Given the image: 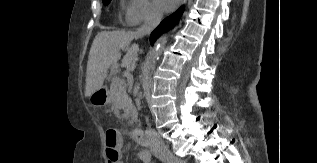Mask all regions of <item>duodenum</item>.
<instances>
[{"label":"duodenum","instance_id":"obj_1","mask_svg":"<svg viewBox=\"0 0 317 163\" xmlns=\"http://www.w3.org/2000/svg\"><path fill=\"white\" fill-rule=\"evenodd\" d=\"M132 138L141 146H146L147 142H146V138H145V133L143 130L139 129V128H135L132 131Z\"/></svg>","mask_w":317,"mask_h":163}]
</instances>
